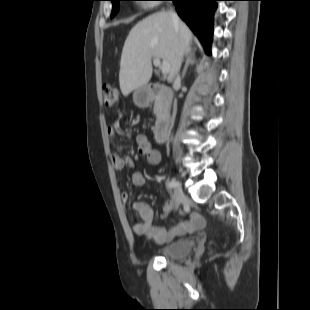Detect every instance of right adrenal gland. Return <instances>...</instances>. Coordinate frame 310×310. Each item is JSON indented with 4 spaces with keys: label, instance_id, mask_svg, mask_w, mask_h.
I'll return each mask as SVG.
<instances>
[{
    "label": "right adrenal gland",
    "instance_id": "1",
    "mask_svg": "<svg viewBox=\"0 0 310 310\" xmlns=\"http://www.w3.org/2000/svg\"><path fill=\"white\" fill-rule=\"evenodd\" d=\"M196 63H197V61L195 59V52L192 50H189L187 52V55H186V63H185V67H184L183 72H182V79L185 77L188 66L194 65Z\"/></svg>",
    "mask_w": 310,
    "mask_h": 310
}]
</instances>
